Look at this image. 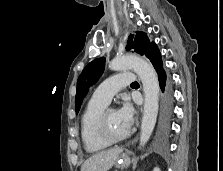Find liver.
<instances>
[{
  "label": "liver",
  "mask_w": 223,
  "mask_h": 171,
  "mask_svg": "<svg viewBox=\"0 0 223 171\" xmlns=\"http://www.w3.org/2000/svg\"><path fill=\"white\" fill-rule=\"evenodd\" d=\"M122 148H112L89 157L81 166V171H108L116 162Z\"/></svg>",
  "instance_id": "6515ba94"
}]
</instances>
